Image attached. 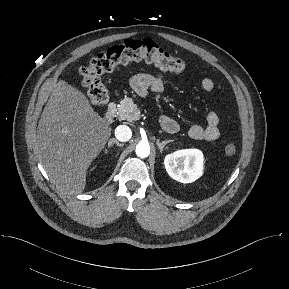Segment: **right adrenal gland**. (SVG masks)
I'll return each mask as SVG.
<instances>
[{"label": "right adrenal gland", "instance_id": "1", "mask_svg": "<svg viewBox=\"0 0 289 289\" xmlns=\"http://www.w3.org/2000/svg\"><path fill=\"white\" fill-rule=\"evenodd\" d=\"M116 145V146H119V147H122L124 146V144L122 143H119L116 139H110L109 142H108V148H111L113 145Z\"/></svg>", "mask_w": 289, "mask_h": 289}]
</instances>
